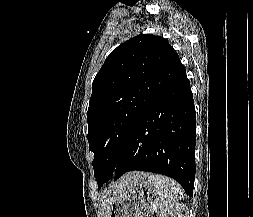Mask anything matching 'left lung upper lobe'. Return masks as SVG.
Wrapping results in <instances>:
<instances>
[{
  "mask_svg": "<svg viewBox=\"0 0 253 217\" xmlns=\"http://www.w3.org/2000/svg\"><path fill=\"white\" fill-rule=\"evenodd\" d=\"M183 68L168 41L149 34L129 39L107 57L93 81L87 112L98 187L113 176L135 120Z\"/></svg>",
  "mask_w": 253,
  "mask_h": 217,
  "instance_id": "5c2ea615",
  "label": "left lung upper lobe"
}]
</instances>
